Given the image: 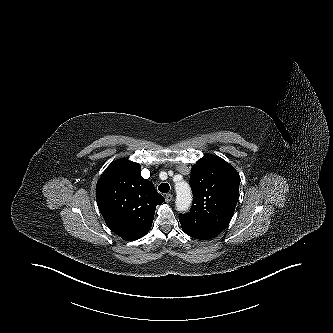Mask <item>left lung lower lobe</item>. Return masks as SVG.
Listing matches in <instances>:
<instances>
[{"label": "left lung lower lobe", "mask_w": 333, "mask_h": 333, "mask_svg": "<svg viewBox=\"0 0 333 333\" xmlns=\"http://www.w3.org/2000/svg\"><path fill=\"white\" fill-rule=\"evenodd\" d=\"M184 232H185V231H184ZM185 233H186L187 235L193 237V238H196V239H202V238H200L199 236H196V235L190 234V233H188V232H185ZM203 240H205V239H203Z\"/></svg>", "instance_id": "0a47b994"}]
</instances>
